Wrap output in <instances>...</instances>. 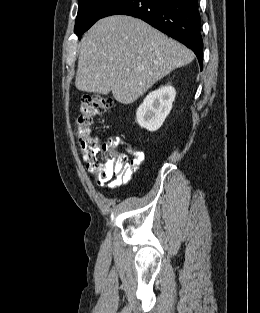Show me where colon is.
<instances>
[{
    "instance_id": "1",
    "label": "colon",
    "mask_w": 260,
    "mask_h": 313,
    "mask_svg": "<svg viewBox=\"0 0 260 313\" xmlns=\"http://www.w3.org/2000/svg\"><path fill=\"white\" fill-rule=\"evenodd\" d=\"M112 106L113 101L108 97L84 95L73 127V134L87 169L101 181L121 176L127 167V156L117 149V139L113 138L104 144L93 132L94 119Z\"/></svg>"
}]
</instances>
